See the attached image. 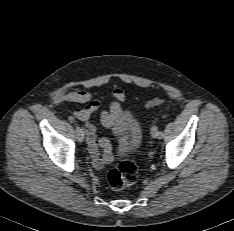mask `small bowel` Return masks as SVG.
Instances as JSON below:
<instances>
[{
    "label": "small bowel",
    "instance_id": "1",
    "mask_svg": "<svg viewBox=\"0 0 234 231\" xmlns=\"http://www.w3.org/2000/svg\"><path fill=\"white\" fill-rule=\"evenodd\" d=\"M69 102L86 103V107L74 112V116L85 123V131L88 139L91 163L95 169H103L105 165L111 164L115 160V155L111 150L110 144L105 139H99L96 135V127L90 122L91 116L99 110L100 101L93 98L91 94L83 90L67 92L63 96ZM125 100V93L121 89H116L112 93V102L107 110L100 114V121L106 128H112L121 112V103ZM128 135L125 134L119 142V151H123L127 144ZM99 147L102 148L100 153Z\"/></svg>",
    "mask_w": 234,
    "mask_h": 231
}]
</instances>
